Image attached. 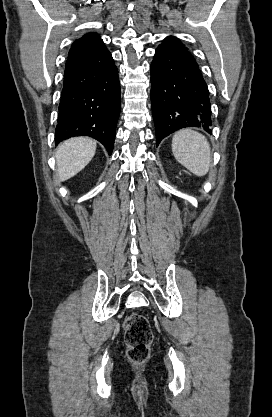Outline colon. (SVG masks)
<instances>
[{
    "label": "colon",
    "mask_w": 272,
    "mask_h": 417,
    "mask_svg": "<svg viewBox=\"0 0 272 417\" xmlns=\"http://www.w3.org/2000/svg\"><path fill=\"white\" fill-rule=\"evenodd\" d=\"M127 357L136 364L145 362L150 354L153 333L147 318L139 313L131 314L124 323Z\"/></svg>",
    "instance_id": "obj_1"
}]
</instances>
